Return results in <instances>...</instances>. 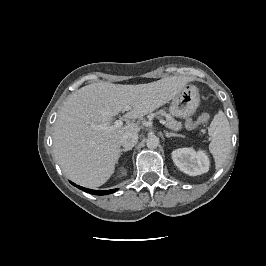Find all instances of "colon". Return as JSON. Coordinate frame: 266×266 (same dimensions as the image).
Listing matches in <instances>:
<instances>
[{"mask_svg": "<svg viewBox=\"0 0 266 266\" xmlns=\"http://www.w3.org/2000/svg\"><path fill=\"white\" fill-rule=\"evenodd\" d=\"M209 120V115L206 113L201 114L196 120L187 119L185 122V126L188 129H193L199 124H204Z\"/></svg>", "mask_w": 266, "mask_h": 266, "instance_id": "5ec220e1", "label": "colon"}]
</instances>
